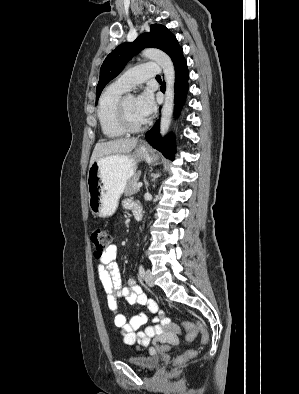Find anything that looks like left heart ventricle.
<instances>
[{
  "instance_id": "obj_1",
  "label": "left heart ventricle",
  "mask_w": 299,
  "mask_h": 394,
  "mask_svg": "<svg viewBox=\"0 0 299 394\" xmlns=\"http://www.w3.org/2000/svg\"><path fill=\"white\" fill-rule=\"evenodd\" d=\"M125 112L128 121L132 125H140L145 120L140 116L138 113L136 106H135V99L131 96L127 97L125 102Z\"/></svg>"
}]
</instances>
